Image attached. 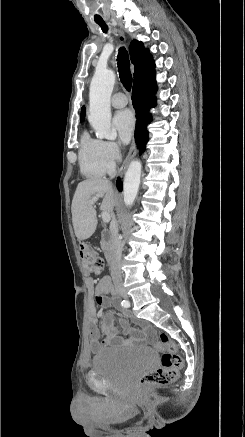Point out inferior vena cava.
I'll return each instance as SVG.
<instances>
[{
    "label": "inferior vena cava",
    "instance_id": "1",
    "mask_svg": "<svg viewBox=\"0 0 245 437\" xmlns=\"http://www.w3.org/2000/svg\"><path fill=\"white\" fill-rule=\"evenodd\" d=\"M113 231L110 240V272L115 286L122 283L121 275V257L123 245L119 236V230L115 218L112 221Z\"/></svg>",
    "mask_w": 245,
    "mask_h": 437
}]
</instances>
